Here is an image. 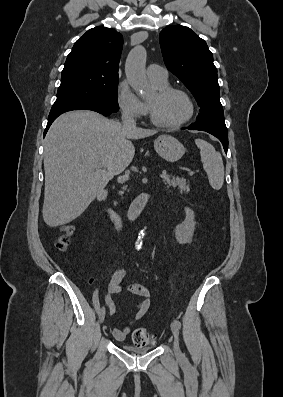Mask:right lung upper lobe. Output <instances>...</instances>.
Masks as SVG:
<instances>
[{"label":"right lung upper lobe","instance_id":"obj_1","mask_svg":"<svg viewBox=\"0 0 283 397\" xmlns=\"http://www.w3.org/2000/svg\"><path fill=\"white\" fill-rule=\"evenodd\" d=\"M122 46L123 36L116 30L103 26L92 28L75 42L62 73L118 78Z\"/></svg>","mask_w":283,"mask_h":397}]
</instances>
